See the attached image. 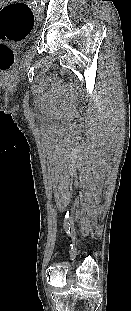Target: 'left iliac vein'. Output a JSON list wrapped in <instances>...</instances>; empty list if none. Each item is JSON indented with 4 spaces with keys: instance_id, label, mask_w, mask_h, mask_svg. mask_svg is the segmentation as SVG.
Masks as SVG:
<instances>
[{
    "instance_id": "4c4485c4",
    "label": "left iliac vein",
    "mask_w": 131,
    "mask_h": 311,
    "mask_svg": "<svg viewBox=\"0 0 131 311\" xmlns=\"http://www.w3.org/2000/svg\"><path fill=\"white\" fill-rule=\"evenodd\" d=\"M38 12H39V14H41V12H42V7L41 6H39V8H38Z\"/></svg>"
}]
</instances>
